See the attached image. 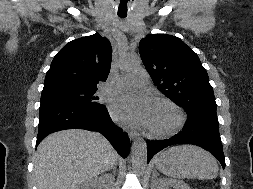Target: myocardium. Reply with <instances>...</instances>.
<instances>
[{
  "instance_id": "obj_1",
  "label": "myocardium",
  "mask_w": 253,
  "mask_h": 189,
  "mask_svg": "<svg viewBox=\"0 0 253 189\" xmlns=\"http://www.w3.org/2000/svg\"><path fill=\"white\" fill-rule=\"evenodd\" d=\"M155 106H165L174 113L173 122L166 128L158 129L148 126V132L156 138H164L176 133L185 123L186 115L183 109L176 103L167 98H159L155 101Z\"/></svg>"
}]
</instances>
